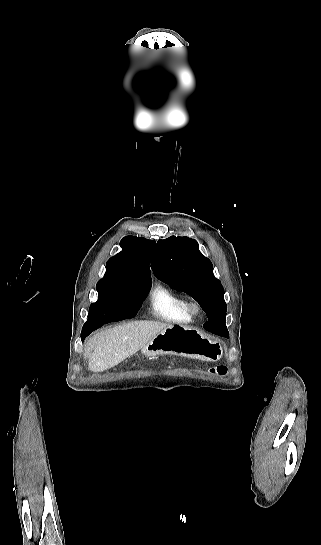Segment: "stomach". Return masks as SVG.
Listing matches in <instances>:
<instances>
[{"mask_svg": "<svg viewBox=\"0 0 321 545\" xmlns=\"http://www.w3.org/2000/svg\"><path fill=\"white\" fill-rule=\"evenodd\" d=\"M141 353L151 359L157 355H179L202 361H219L222 359L223 349L220 341L208 339L193 327L172 325L153 337Z\"/></svg>", "mask_w": 321, "mask_h": 545, "instance_id": "obj_1", "label": "stomach"}]
</instances>
